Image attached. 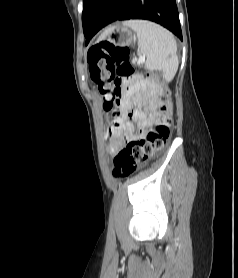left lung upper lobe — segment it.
I'll return each instance as SVG.
<instances>
[{"label": "left lung upper lobe", "instance_id": "5c2ea615", "mask_svg": "<svg viewBox=\"0 0 238 278\" xmlns=\"http://www.w3.org/2000/svg\"><path fill=\"white\" fill-rule=\"evenodd\" d=\"M105 0H84L82 12V24L84 35L89 31L101 5Z\"/></svg>", "mask_w": 238, "mask_h": 278}]
</instances>
